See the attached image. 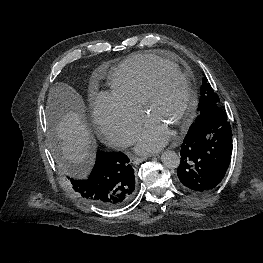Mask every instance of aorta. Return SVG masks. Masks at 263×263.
Returning <instances> with one entry per match:
<instances>
[{"instance_id": "762f6f07", "label": "aorta", "mask_w": 263, "mask_h": 263, "mask_svg": "<svg viewBox=\"0 0 263 263\" xmlns=\"http://www.w3.org/2000/svg\"><path fill=\"white\" fill-rule=\"evenodd\" d=\"M161 160L163 165L169 169H175L180 164V156L171 150L163 152Z\"/></svg>"}]
</instances>
